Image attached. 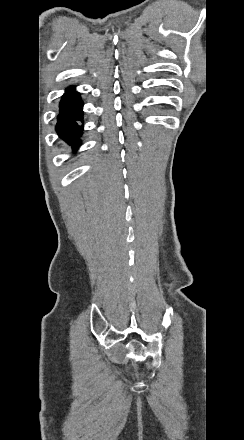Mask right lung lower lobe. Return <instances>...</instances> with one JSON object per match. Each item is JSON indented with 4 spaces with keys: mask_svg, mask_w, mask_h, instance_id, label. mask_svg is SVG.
I'll return each instance as SVG.
<instances>
[{
    "mask_svg": "<svg viewBox=\"0 0 244 440\" xmlns=\"http://www.w3.org/2000/svg\"><path fill=\"white\" fill-rule=\"evenodd\" d=\"M59 107L57 132L73 148H76L79 145L78 137L82 131V127L76 123L77 120H82V101L73 89H69L63 96Z\"/></svg>",
    "mask_w": 244,
    "mask_h": 440,
    "instance_id": "right-lung-lower-lobe-1",
    "label": "right lung lower lobe"
}]
</instances>
